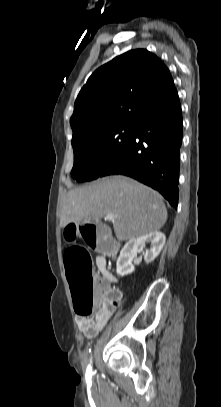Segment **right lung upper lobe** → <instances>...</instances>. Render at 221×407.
<instances>
[{
  "instance_id": "right-lung-upper-lobe-1",
  "label": "right lung upper lobe",
  "mask_w": 221,
  "mask_h": 407,
  "mask_svg": "<svg viewBox=\"0 0 221 407\" xmlns=\"http://www.w3.org/2000/svg\"><path fill=\"white\" fill-rule=\"evenodd\" d=\"M176 91L168 68L154 54L128 51L98 68L81 89L70 119L72 144L118 125L135 124Z\"/></svg>"
}]
</instances>
